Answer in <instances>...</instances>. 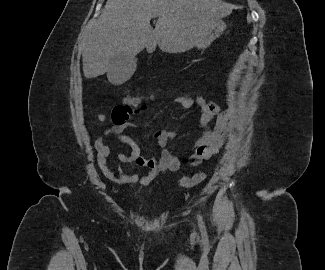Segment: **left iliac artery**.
Returning <instances> with one entry per match:
<instances>
[{
    "label": "left iliac artery",
    "mask_w": 325,
    "mask_h": 270,
    "mask_svg": "<svg viewBox=\"0 0 325 270\" xmlns=\"http://www.w3.org/2000/svg\"><path fill=\"white\" fill-rule=\"evenodd\" d=\"M198 225L201 230V233L205 236L206 235V227H205V223L203 221V217L201 214H198Z\"/></svg>",
    "instance_id": "1"
}]
</instances>
